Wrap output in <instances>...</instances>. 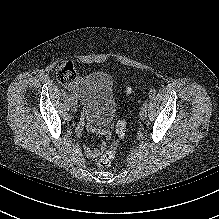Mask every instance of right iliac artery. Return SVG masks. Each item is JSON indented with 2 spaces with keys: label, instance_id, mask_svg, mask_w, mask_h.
Here are the masks:
<instances>
[{
  "label": "right iliac artery",
  "instance_id": "1",
  "mask_svg": "<svg viewBox=\"0 0 219 219\" xmlns=\"http://www.w3.org/2000/svg\"><path fill=\"white\" fill-rule=\"evenodd\" d=\"M70 99H71V100L74 99V95H73V94L70 95Z\"/></svg>",
  "mask_w": 219,
  "mask_h": 219
}]
</instances>
